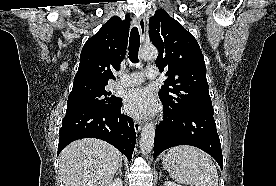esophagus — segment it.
Listing matches in <instances>:
<instances>
[{"instance_id": "34e87169", "label": "esophagus", "mask_w": 276, "mask_h": 186, "mask_svg": "<svg viewBox=\"0 0 276 186\" xmlns=\"http://www.w3.org/2000/svg\"><path fill=\"white\" fill-rule=\"evenodd\" d=\"M138 28H139V32H140V37H141V41L144 42L145 40V31H146V22H145V17L141 16L138 19ZM134 128L136 132H139L142 128V123L139 120H135L134 121Z\"/></svg>"}]
</instances>
